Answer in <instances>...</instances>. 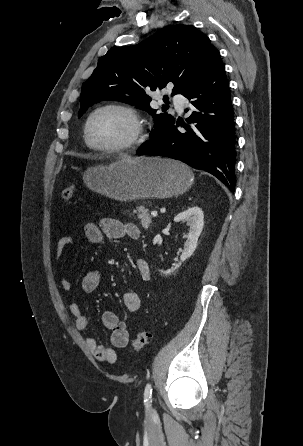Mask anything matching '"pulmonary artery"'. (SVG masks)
<instances>
[{
	"mask_svg": "<svg viewBox=\"0 0 303 446\" xmlns=\"http://www.w3.org/2000/svg\"><path fill=\"white\" fill-rule=\"evenodd\" d=\"M173 101H174L176 109L179 112H182L184 109L185 102H186L185 98L180 94H176L173 97Z\"/></svg>",
	"mask_w": 303,
	"mask_h": 446,
	"instance_id": "obj_1",
	"label": "pulmonary artery"
}]
</instances>
